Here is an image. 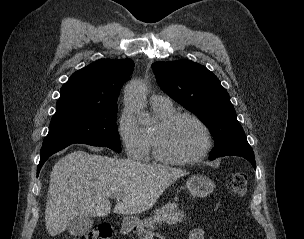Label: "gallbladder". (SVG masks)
Here are the masks:
<instances>
[{
    "instance_id": "gallbladder-1",
    "label": "gallbladder",
    "mask_w": 304,
    "mask_h": 239,
    "mask_svg": "<svg viewBox=\"0 0 304 239\" xmlns=\"http://www.w3.org/2000/svg\"><path fill=\"white\" fill-rule=\"evenodd\" d=\"M93 225V221L86 216H78L67 225V231L73 236H82L87 233Z\"/></svg>"
}]
</instances>
